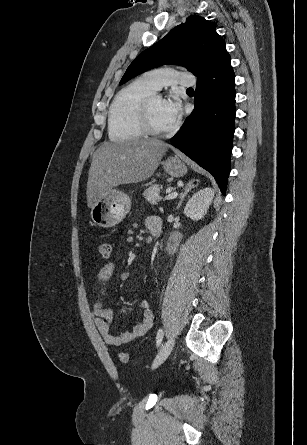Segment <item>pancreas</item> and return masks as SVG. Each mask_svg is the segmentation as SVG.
Wrapping results in <instances>:
<instances>
[{"label":"pancreas","instance_id":"cf45deb5","mask_svg":"<svg viewBox=\"0 0 307 445\" xmlns=\"http://www.w3.org/2000/svg\"><path fill=\"white\" fill-rule=\"evenodd\" d=\"M161 188H163L162 184H152L149 188H145L143 192L144 198H146L148 202H151V204H157L158 200H161V198L156 196V192H161Z\"/></svg>","mask_w":307,"mask_h":445}]
</instances>
